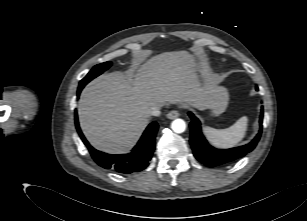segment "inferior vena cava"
<instances>
[{
  "instance_id": "602c4592",
  "label": "inferior vena cava",
  "mask_w": 307,
  "mask_h": 221,
  "mask_svg": "<svg viewBox=\"0 0 307 221\" xmlns=\"http://www.w3.org/2000/svg\"><path fill=\"white\" fill-rule=\"evenodd\" d=\"M160 108L161 106H153L150 110V115L159 116L161 114Z\"/></svg>"
}]
</instances>
